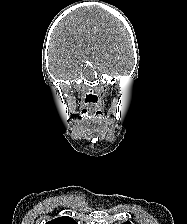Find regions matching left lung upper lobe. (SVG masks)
Instances as JSON below:
<instances>
[{"instance_id": "left-lung-upper-lobe-1", "label": "left lung upper lobe", "mask_w": 187, "mask_h": 224, "mask_svg": "<svg viewBox=\"0 0 187 224\" xmlns=\"http://www.w3.org/2000/svg\"><path fill=\"white\" fill-rule=\"evenodd\" d=\"M123 224H131L129 221L124 222Z\"/></svg>"}]
</instances>
